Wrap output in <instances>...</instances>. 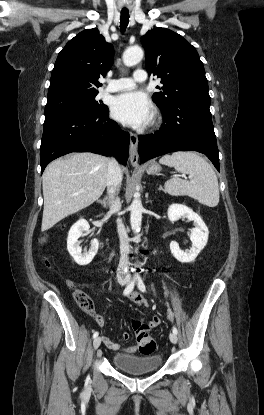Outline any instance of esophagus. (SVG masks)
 Segmentation results:
<instances>
[{"label":"esophagus","mask_w":264,"mask_h":415,"mask_svg":"<svg viewBox=\"0 0 264 415\" xmlns=\"http://www.w3.org/2000/svg\"><path fill=\"white\" fill-rule=\"evenodd\" d=\"M137 144H138V138L137 135L134 133H130V147H129V159L131 164H137L138 163V151H137Z\"/></svg>","instance_id":"esophagus-1"}]
</instances>
